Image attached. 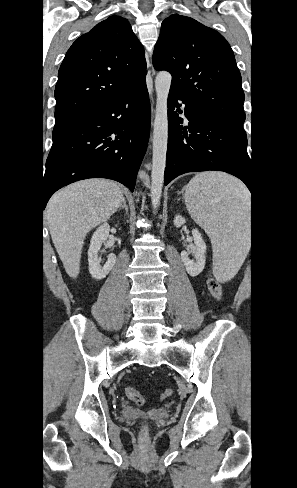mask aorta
I'll return each mask as SVG.
<instances>
[{
    "mask_svg": "<svg viewBox=\"0 0 297 488\" xmlns=\"http://www.w3.org/2000/svg\"><path fill=\"white\" fill-rule=\"evenodd\" d=\"M171 74L161 71L155 80L156 109L153 130V156L151 171V203L154 210L160 205L164 171L166 167V152L168 143V95L171 86Z\"/></svg>",
    "mask_w": 297,
    "mask_h": 488,
    "instance_id": "1",
    "label": "aorta"
}]
</instances>
